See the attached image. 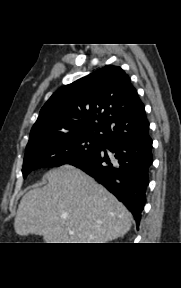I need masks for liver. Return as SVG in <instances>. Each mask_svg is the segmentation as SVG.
<instances>
[{"instance_id": "6515ba94", "label": "liver", "mask_w": 181, "mask_h": 288, "mask_svg": "<svg viewBox=\"0 0 181 288\" xmlns=\"http://www.w3.org/2000/svg\"><path fill=\"white\" fill-rule=\"evenodd\" d=\"M44 178L47 185L31 189L19 203L18 235H41L45 243H107L130 230L131 213L82 170L63 165Z\"/></svg>"}]
</instances>
